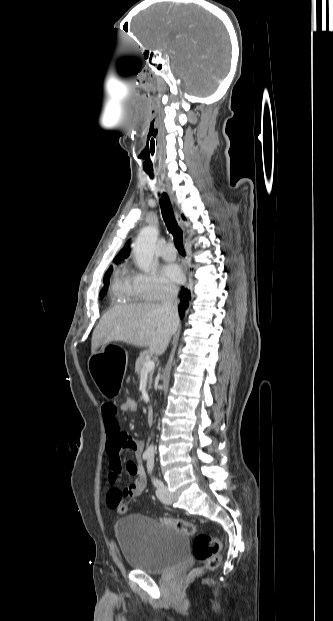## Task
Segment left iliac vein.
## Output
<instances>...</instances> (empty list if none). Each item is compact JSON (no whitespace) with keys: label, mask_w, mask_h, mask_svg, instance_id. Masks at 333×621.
<instances>
[{"label":"left iliac vein","mask_w":333,"mask_h":621,"mask_svg":"<svg viewBox=\"0 0 333 621\" xmlns=\"http://www.w3.org/2000/svg\"><path fill=\"white\" fill-rule=\"evenodd\" d=\"M157 496H158L159 500L162 503H164V504H171V502H172L170 493H169L167 487L164 484H162V486L158 487V489H157Z\"/></svg>","instance_id":"obj_1"}]
</instances>
